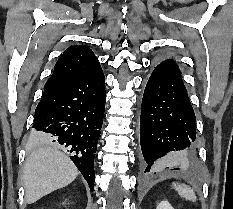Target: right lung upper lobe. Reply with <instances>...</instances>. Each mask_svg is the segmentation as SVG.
Here are the masks:
<instances>
[{
  "mask_svg": "<svg viewBox=\"0 0 233 209\" xmlns=\"http://www.w3.org/2000/svg\"><path fill=\"white\" fill-rule=\"evenodd\" d=\"M92 50L84 45L71 46L64 51L55 64L53 74L45 84L44 91L70 82L98 65Z\"/></svg>",
  "mask_w": 233,
  "mask_h": 209,
  "instance_id": "obj_1",
  "label": "right lung upper lobe"
}]
</instances>
